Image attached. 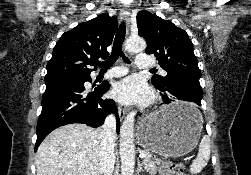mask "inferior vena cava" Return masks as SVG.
Returning <instances> with one entry per match:
<instances>
[{
  "label": "inferior vena cava",
  "instance_id": "obj_1",
  "mask_svg": "<svg viewBox=\"0 0 251 175\" xmlns=\"http://www.w3.org/2000/svg\"><path fill=\"white\" fill-rule=\"evenodd\" d=\"M100 137L101 157L100 171L104 175H112L115 163V145H116V117L107 115L102 127L97 129Z\"/></svg>",
  "mask_w": 251,
  "mask_h": 175
}]
</instances>
